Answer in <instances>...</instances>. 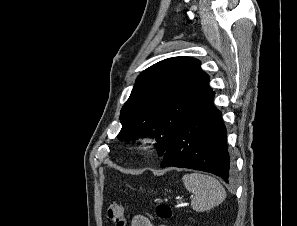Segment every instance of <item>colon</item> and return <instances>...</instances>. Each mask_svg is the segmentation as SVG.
Returning a JSON list of instances; mask_svg holds the SVG:
<instances>
[{
  "label": "colon",
  "mask_w": 297,
  "mask_h": 226,
  "mask_svg": "<svg viewBox=\"0 0 297 226\" xmlns=\"http://www.w3.org/2000/svg\"><path fill=\"white\" fill-rule=\"evenodd\" d=\"M156 213L160 218L168 219L172 216V209L169 205L161 203L157 205ZM106 218L115 226H126L125 210L120 203H111L106 210Z\"/></svg>",
  "instance_id": "1"
}]
</instances>
